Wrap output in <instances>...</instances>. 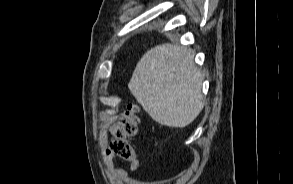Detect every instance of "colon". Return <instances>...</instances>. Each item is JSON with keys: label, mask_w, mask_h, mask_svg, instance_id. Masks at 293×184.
Here are the masks:
<instances>
[{"label": "colon", "mask_w": 293, "mask_h": 184, "mask_svg": "<svg viewBox=\"0 0 293 184\" xmlns=\"http://www.w3.org/2000/svg\"><path fill=\"white\" fill-rule=\"evenodd\" d=\"M138 107L131 103L118 117L110 130V138L105 144L106 154L132 164L136 155L128 139L133 137L138 127Z\"/></svg>", "instance_id": "1"}]
</instances>
